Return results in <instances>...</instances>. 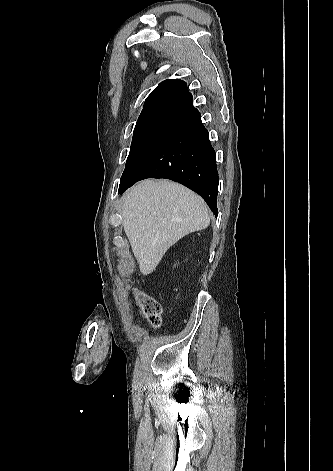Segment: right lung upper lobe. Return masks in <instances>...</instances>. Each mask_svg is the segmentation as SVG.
<instances>
[{
    "mask_svg": "<svg viewBox=\"0 0 333 471\" xmlns=\"http://www.w3.org/2000/svg\"><path fill=\"white\" fill-rule=\"evenodd\" d=\"M193 108V97L186 82L167 79L147 97L139 117H161L177 121Z\"/></svg>",
    "mask_w": 333,
    "mask_h": 471,
    "instance_id": "1",
    "label": "right lung upper lobe"
}]
</instances>
